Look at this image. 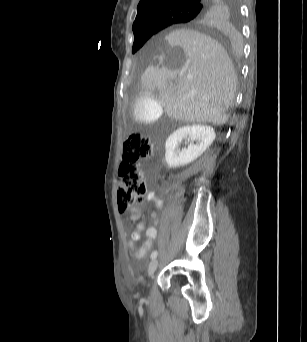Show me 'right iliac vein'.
Masks as SVG:
<instances>
[{"instance_id": "obj_1", "label": "right iliac vein", "mask_w": 307, "mask_h": 342, "mask_svg": "<svg viewBox=\"0 0 307 342\" xmlns=\"http://www.w3.org/2000/svg\"><path fill=\"white\" fill-rule=\"evenodd\" d=\"M158 261L156 259L152 260L149 264L148 268V276L151 277L154 275L155 271L157 270Z\"/></svg>"}]
</instances>
